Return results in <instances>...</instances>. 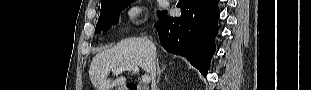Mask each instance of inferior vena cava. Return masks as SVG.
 <instances>
[{"instance_id": "inferior-vena-cava-1", "label": "inferior vena cava", "mask_w": 311, "mask_h": 90, "mask_svg": "<svg viewBox=\"0 0 311 90\" xmlns=\"http://www.w3.org/2000/svg\"><path fill=\"white\" fill-rule=\"evenodd\" d=\"M151 58L153 57L152 55L150 56ZM155 74H156V65L154 64V70L152 73V79L155 80Z\"/></svg>"}]
</instances>
